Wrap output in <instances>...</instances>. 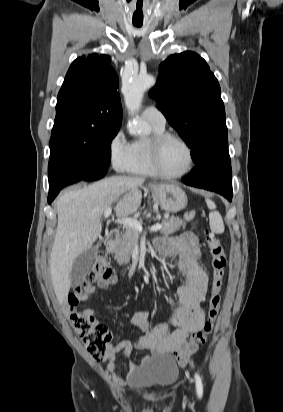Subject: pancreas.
Returning <instances> with one entry per match:
<instances>
[{
  "mask_svg": "<svg viewBox=\"0 0 283 412\" xmlns=\"http://www.w3.org/2000/svg\"><path fill=\"white\" fill-rule=\"evenodd\" d=\"M195 217V212L185 213L183 219L179 217H171L170 219L164 218L162 220L161 233L164 235L172 234L180 229V227H185L187 222L191 221ZM139 232L131 227H126L124 233L120 238L116 239L110 252L114 253V259L119 264H127L130 261L131 254L134 247L138 242Z\"/></svg>",
  "mask_w": 283,
  "mask_h": 412,
  "instance_id": "pancreas-1",
  "label": "pancreas"
}]
</instances>
